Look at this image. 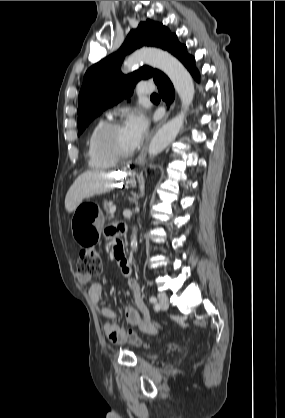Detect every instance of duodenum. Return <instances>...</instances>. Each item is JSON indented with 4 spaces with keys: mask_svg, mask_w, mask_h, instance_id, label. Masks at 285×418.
<instances>
[{
    "mask_svg": "<svg viewBox=\"0 0 285 418\" xmlns=\"http://www.w3.org/2000/svg\"><path fill=\"white\" fill-rule=\"evenodd\" d=\"M122 231H123V232L125 231V228H124V227L122 228Z\"/></svg>",
    "mask_w": 285,
    "mask_h": 418,
    "instance_id": "obj_1",
    "label": "duodenum"
}]
</instances>
